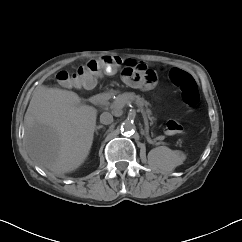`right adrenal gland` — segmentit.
Instances as JSON below:
<instances>
[{
    "mask_svg": "<svg viewBox=\"0 0 242 242\" xmlns=\"http://www.w3.org/2000/svg\"><path fill=\"white\" fill-rule=\"evenodd\" d=\"M102 128H104V126L103 125H99V126L95 127V130L97 131V130L102 129Z\"/></svg>",
    "mask_w": 242,
    "mask_h": 242,
    "instance_id": "1",
    "label": "right adrenal gland"
}]
</instances>
